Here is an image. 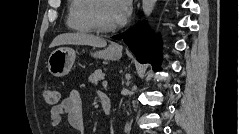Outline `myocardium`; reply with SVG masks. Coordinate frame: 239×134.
Returning <instances> with one entry per match:
<instances>
[{
	"mask_svg": "<svg viewBox=\"0 0 239 134\" xmlns=\"http://www.w3.org/2000/svg\"><path fill=\"white\" fill-rule=\"evenodd\" d=\"M103 0H93L92 4L90 6V10H89V19H90V23L92 25V27L101 33H107V32H111L114 31L117 26H105L101 23L100 19H99V15H98V8H99V4L102 2Z\"/></svg>",
	"mask_w": 239,
	"mask_h": 134,
	"instance_id": "obj_1",
	"label": "myocardium"
}]
</instances>
